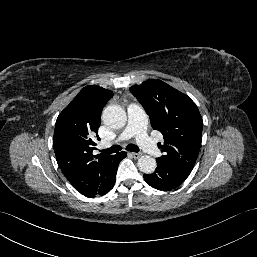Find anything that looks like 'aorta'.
Instances as JSON below:
<instances>
[{
    "instance_id": "1",
    "label": "aorta",
    "mask_w": 257,
    "mask_h": 257,
    "mask_svg": "<svg viewBox=\"0 0 257 257\" xmlns=\"http://www.w3.org/2000/svg\"><path fill=\"white\" fill-rule=\"evenodd\" d=\"M102 120L105 125L113 129H120L125 126L127 115L121 106L110 105L104 109ZM138 167L143 173L151 174L156 169V160L149 155H143L138 159Z\"/></svg>"
}]
</instances>
